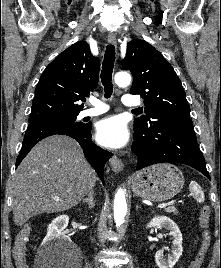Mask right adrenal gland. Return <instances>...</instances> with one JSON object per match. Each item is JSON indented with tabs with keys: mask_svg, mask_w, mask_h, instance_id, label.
Listing matches in <instances>:
<instances>
[{
	"mask_svg": "<svg viewBox=\"0 0 221 268\" xmlns=\"http://www.w3.org/2000/svg\"><path fill=\"white\" fill-rule=\"evenodd\" d=\"M94 196V191L91 190L88 194V197L83 199V203H86L89 209H92L95 206Z\"/></svg>",
	"mask_w": 221,
	"mask_h": 268,
	"instance_id": "obj_1",
	"label": "right adrenal gland"
}]
</instances>
